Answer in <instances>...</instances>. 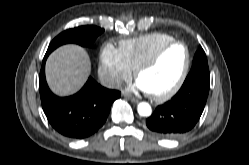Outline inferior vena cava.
Instances as JSON below:
<instances>
[{"label":"inferior vena cava","instance_id":"obj_1","mask_svg":"<svg viewBox=\"0 0 249 165\" xmlns=\"http://www.w3.org/2000/svg\"><path fill=\"white\" fill-rule=\"evenodd\" d=\"M101 83L103 86L111 89H117L122 86V81L119 78L116 77H105L101 80Z\"/></svg>","mask_w":249,"mask_h":165}]
</instances>
